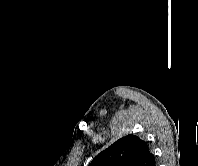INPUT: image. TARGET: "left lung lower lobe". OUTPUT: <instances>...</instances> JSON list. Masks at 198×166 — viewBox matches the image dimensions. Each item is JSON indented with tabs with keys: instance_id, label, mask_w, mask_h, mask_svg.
Returning a JSON list of instances; mask_svg holds the SVG:
<instances>
[{
	"instance_id": "0a47b994",
	"label": "left lung lower lobe",
	"mask_w": 198,
	"mask_h": 166,
	"mask_svg": "<svg viewBox=\"0 0 198 166\" xmlns=\"http://www.w3.org/2000/svg\"><path fill=\"white\" fill-rule=\"evenodd\" d=\"M152 166H156V163L154 162V164Z\"/></svg>"
}]
</instances>
